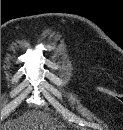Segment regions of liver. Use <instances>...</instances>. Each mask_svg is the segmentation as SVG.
<instances>
[{"instance_id":"obj_1","label":"liver","mask_w":123,"mask_h":130,"mask_svg":"<svg viewBox=\"0 0 123 130\" xmlns=\"http://www.w3.org/2000/svg\"><path fill=\"white\" fill-rule=\"evenodd\" d=\"M52 118L44 112H27L6 123L5 130H55Z\"/></svg>"}]
</instances>
